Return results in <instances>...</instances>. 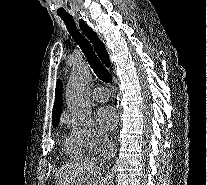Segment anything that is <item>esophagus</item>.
Wrapping results in <instances>:
<instances>
[{
    "label": "esophagus",
    "mask_w": 207,
    "mask_h": 185,
    "mask_svg": "<svg viewBox=\"0 0 207 185\" xmlns=\"http://www.w3.org/2000/svg\"><path fill=\"white\" fill-rule=\"evenodd\" d=\"M77 14H84V9H77ZM77 26L78 28L82 30H95L94 26H92L91 22H88V19H84V15H77ZM89 25H83V24H88ZM97 32V30H96ZM85 33V38H89V43H92L93 48H107V43H101V38H102V33ZM97 55H107V56H99L98 60L99 61H106L104 62V67H113V62H111V53L108 49L106 50H97L96 51ZM114 104L116 110L119 108V96L116 93L114 95ZM118 118V114H117Z\"/></svg>",
    "instance_id": "obj_1"
}]
</instances>
